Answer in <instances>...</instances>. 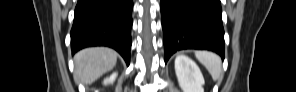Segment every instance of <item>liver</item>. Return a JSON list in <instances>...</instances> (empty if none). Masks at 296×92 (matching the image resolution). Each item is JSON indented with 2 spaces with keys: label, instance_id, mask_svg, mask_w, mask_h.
I'll list each match as a JSON object with an SVG mask.
<instances>
[{
  "label": "liver",
  "instance_id": "6515ba94",
  "mask_svg": "<svg viewBox=\"0 0 296 92\" xmlns=\"http://www.w3.org/2000/svg\"><path fill=\"white\" fill-rule=\"evenodd\" d=\"M117 52L107 47H91L79 51L75 57L74 78L85 85L93 83L117 62Z\"/></svg>",
  "mask_w": 296,
  "mask_h": 92
}]
</instances>
